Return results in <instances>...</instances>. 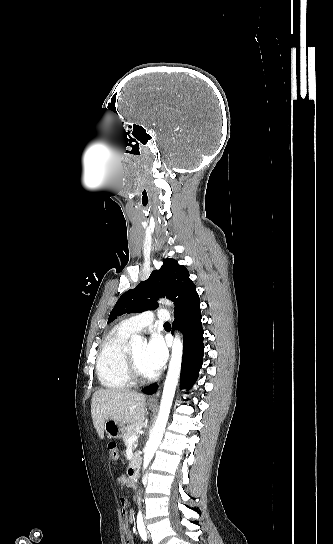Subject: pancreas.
<instances>
[{
	"label": "pancreas",
	"mask_w": 333,
	"mask_h": 544,
	"mask_svg": "<svg viewBox=\"0 0 333 544\" xmlns=\"http://www.w3.org/2000/svg\"><path fill=\"white\" fill-rule=\"evenodd\" d=\"M140 427H141V421H140V420L137 421L136 423L131 424V425H129V426L126 427V429H125V431H124V433H123V435H122V438H123V441H124L125 444L128 443L127 440H128V438H129L130 436L136 435V434H137V431H138V429H139ZM136 457H137V452L134 453V455H133V457H132V461H134Z\"/></svg>",
	"instance_id": "obj_1"
}]
</instances>
